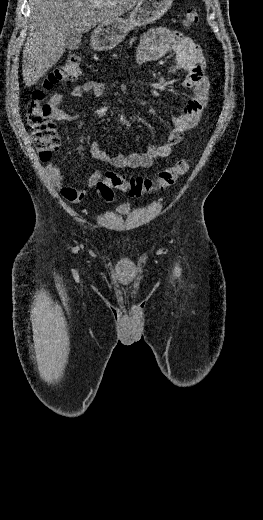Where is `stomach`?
Instances as JSON below:
<instances>
[{
	"mask_svg": "<svg viewBox=\"0 0 263 520\" xmlns=\"http://www.w3.org/2000/svg\"><path fill=\"white\" fill-rule=\"evenodd\" d=\"M173 0H140L127 19L119 18L98 25L91 36L98 51L115 48L136 27L146 26L160 19L172 6Z\"/></svg>",
	"mask_w": 263,
	"mask_h": 520,
	"instance_id": "1",
	"label": "stomach"
}]
</instances>
